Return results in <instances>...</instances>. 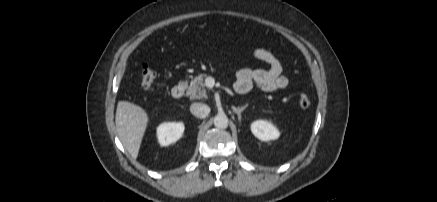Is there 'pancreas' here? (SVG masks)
I'll return each mask as SVG.
<instances>
[{
    "label": "pancreas",
    "mask_w": 437,
    "mask_h": 202,
    "mask_svg": "<svg viewBox=\"0 0 437 202\" xmlns=\"http://www.w3.org/2000/svg\"><path fill=\"white\" fill-rule=\"evenodd\" d=\"M206 77L207 76L205 74H201L191 81L186 92V95L190 97V99L207 98L206 85L204 82Z\"/></svg>",
    "instance_id": "pancreas-1"
}]
</instances>
